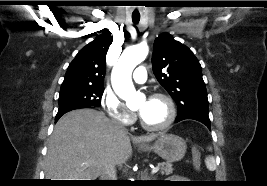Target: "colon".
<instances>
[{"label": "colon", "instance_id": "colon-1", "mask_svg": "<svg viewBox=\"0 0 267 186\" xmlns=\"http://www.w3.org/2000/svg\"><path fill=\"white\" fill-rule=\"evenodd\" d=\"M200 164H201V154H200L199 150H194L193 165L196 169H198L200 167Z\"/></svg>", "mask_w": 267, "mask_h": 186}]
</instances>
